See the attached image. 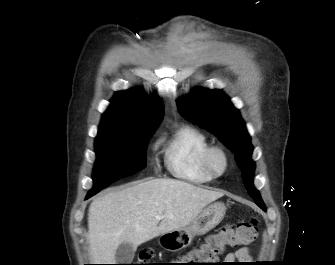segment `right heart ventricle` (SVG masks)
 <instances>
[{
	"mask_svg": "<svg viewBox=\"0 0 335 265\" xmlns=\"http://www.w3.org/2000/svg\"><path fill=\"white\" fill-rule=\"evenodd\" d=\"M211 146L205 133L184 125L164 142V160L168 171L176 178L193 184H205L215 177L203 166L202 158Z\"/></svg>",
	"mask_w": 335,
	"mask_h": 265,
	"instance_id": "obj_1",
	"label": "right heart ventricle"
}]
</instances>
